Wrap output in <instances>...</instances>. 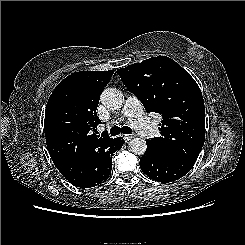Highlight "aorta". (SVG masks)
Here are the masks:
<instances>
[{
	"label": "aorta",
	"mask_w": 245,
	"mask_h": 245,
	"mask_svg": "<svg viewBox=\"0 0 245 245\" xmlns=\"http://www.w3.org/2000/svg\"><path fill=\"white\" fill-rule=\"evenodd\" d=\"M100 101L107 109L118 110L123 105L124 96L116 88H106L101 93ZM128 149L133 154L143 155L147 149L146 141L141 138H133L128 143Z\"/></svg>",
	"instance_id": "1"
}]
</instances>
